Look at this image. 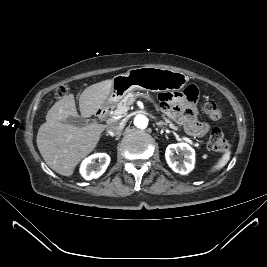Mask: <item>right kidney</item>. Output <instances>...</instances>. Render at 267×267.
<instances>
[{
	"label": "right kidney",
	"instance_id": "ca27d5eb",
	"mask_svg": "<svg viewBox=\"0 0 267 267\" xmlns=\"http://www.w3.org/2000/svg\"><path fill=\"white\" fill-rule=\"evenodd\" d=\"M98 160V163H96ZM110 156L106 153H96L86 158L80 166V173L85 180L99 178L107 169Z\"/></svg>",
	"mask_w": 267,
	"mask_h": 267
}]
</instances>
